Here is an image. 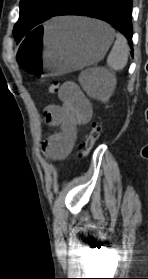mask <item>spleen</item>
I'll return each mask as SVG.
<instances>
[{
	"label": "spleen",
	"instance_id": "3e777b00",
	"mask_svg": "<svg viewBox=\"0 0 148 279\" xmlns=\"http://www.w3.org/2000/svg\"><path fill=\"white\" fill-rule=\"evenodd\" d=\"M129 46L126 38L116 33V41L108 55L107 64L114 70H122L128 62ZM92 70H85L80 74L79 82L92 97L108 96L114 89V84L94 78Z\"/></svg>",
	"mask_w": 148,
	"mask_h": 279
}]
</instances>
